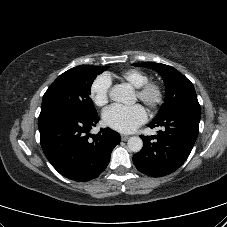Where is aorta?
<instances>
[{
	"instance_id": "obj_1",
	"label": "aorta",
	"mask_w": 227,
	"mask_h": 227,
	"mask_svg": "<svg viewBox=\"0 0 227 227\" xmlns=\"http://www.w3.org/2000/svg\"><path fill=\"white\" fill-rule=\"evenodd\" d=\"M132 95V89L126 84L115 85L109 92V97L115 102L127 103ZM128 149L139 152L143 147V141L138 136L130 137L127 142Z\"/></svg>"
}]
</instances>
